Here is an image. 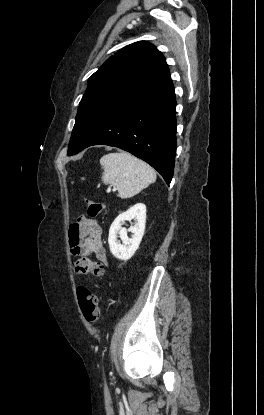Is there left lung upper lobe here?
Masks as SVG:
<instances>
[{"mask_svg":"<svg viewBox=\"0 0 264 415\" xmlns=\"http://www.w3.org/2000/svg\"><path fill=\"white\" fill-rule=\"evenodd\" d=\"M170 75L164 56L146 41L130 44L90 76L72 131L68 155L77 152L101 117L123 99Z\"/></svg>","mask_w":264,"mask_h":415,"instance_id":"left-lung-upper-lobe-1","label":"left lung upper lobe"}]
</instances>
